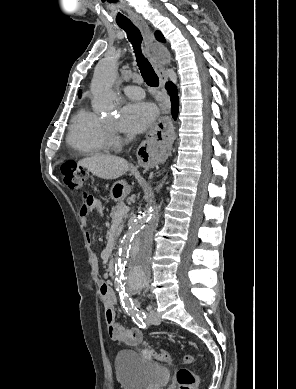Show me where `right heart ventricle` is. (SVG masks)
<instances>
[{"mask_svg":"<svg viewBox=\"0 0 296 389\" xmlns=\"http://www.w3.org/2000/svg\"><path fill=\"white\" fill-rule=\"evenodd\" d=\"M67 143L83 155L104 153L109 148L105 121L97 114L80 109L72 118Z\"/></svg>","mask_w":296,"mask_h":389,"instance_id":"obj_1","label":"right heart ventricle"}]
</instances>
